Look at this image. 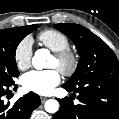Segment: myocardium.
Here are the masks:
<instances>
[{
	"mask_svg": "<svg viewBox=\"0 0 119 119\" xmlns=\"http://www.w3.org/2000/svg\"><path fill=\"white\" fill-rule=\"evenodd\" d=\"M53 57L58 61V69L66 76L72 75L78 66V57L70 48L55 51Z\"/></svg>",
	"mask_w": 119,
	"mask_h": 119,
	"instance_id": "myocardium-1",
	"label": "myocardium"
}]
</instances>
